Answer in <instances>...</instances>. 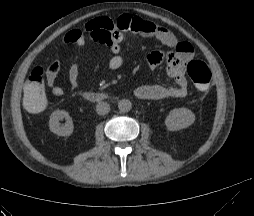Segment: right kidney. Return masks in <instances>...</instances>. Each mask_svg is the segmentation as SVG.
<instances>
[{
	"label": "right kidney",
	"instance_id": "obj_1",
	"mask_svg": "<svg viewBox=\"0 0 254 216\" xmlns=\"http://www.w3.org/2000/svg\"><path fill=\"white\" fill-rule=\"evenodd\" d=\"M65 118L66 124L65 126H60L59 120ZM49 129L54 134L58 136H69L73 133L74 126L72 122V118L69 113L65 110H56L54 111L49 120Z\"/></svg>",
	"mask_w": 254,
	"mask_h": 216
}]
</instances>
